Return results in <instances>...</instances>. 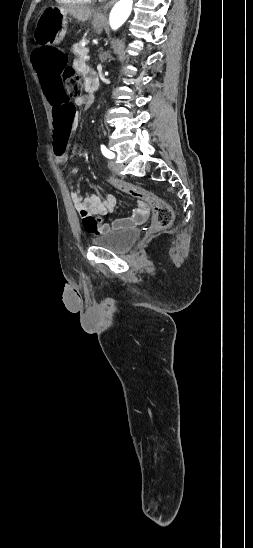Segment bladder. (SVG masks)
<instances>
[{"instance_id": "1", "label": "bladder", "mask_w": 253, "mask_h": 548, "mask_svg": "<svg viewBox=\"0 0 253 548\" xmlns=\"http://www.w3.org/2000/svg\"><path fill=\"white\" fill-rule=\"evenodd\" d=\"M140 234L141 231L138 228L110 231L94 236L91 243L94 246L104 247L116 253H125L137 241Z\"/></svg>"}]
</instances>
